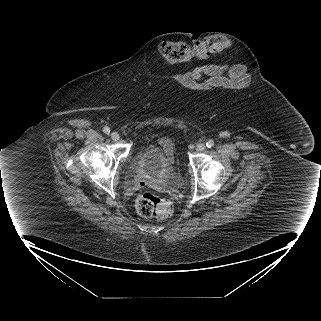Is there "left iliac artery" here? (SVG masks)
Instances as JSON below:
<instances>
[{
  "mask_svg": "<svg viewBox=\"0 0 321 321\" xmlns=\"http://www.w3.org/2000/svg\"><path fill=\"white\" fill-rule=\"evenodd\" d=\"M214 144H215V143H214L213 140H209V141L206 142V147H207V148H212V147L214 146Z\"/></svg>",
  "mask_w": 321,
  "mask_h": 321,
  "instance_id": "1",
  "label": "left iliac artery"
}]
</instances>
